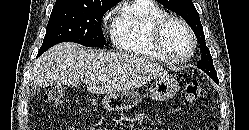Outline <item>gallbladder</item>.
Segmentation results:
<instances>
[{
    "instance_id": "1",
    "label": "gallbladder",
    "mask_w": 249,
    "mask_h": 130,
    "mask_svg": "<svg viewBox=\"0 0 249 130\" xmlns=\"http://www.w3.org/2000/svg\"><path fill=\"white\" fill-rule=\"evenodd\" d=\"M40 91H41L40 87L34 86L30 89V96H35V95L39 94Z\"/></svg>"
}]
</instances>
